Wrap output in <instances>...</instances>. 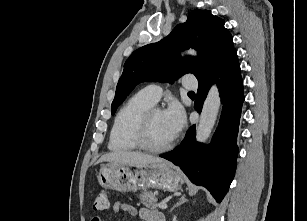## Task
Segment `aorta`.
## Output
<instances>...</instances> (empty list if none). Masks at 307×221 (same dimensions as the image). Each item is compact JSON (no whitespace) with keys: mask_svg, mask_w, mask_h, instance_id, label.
I'll return each instance as SVG.
<instances>
[{"mask_svg":"<svg viewBox=\"0 0 307 221\" xmlns=\"http://www.w3.org/2000/svg\"><path fill=\"white\" fill-rule=\"evenodd\" d=\"M186 53L192 56L197 55L196 52L192 49H189ZM219 108V90L216 85H212L204 101L199 124L196 128V140L198 142H205L209 138L215 125Z\"/></svg>","mask_w":307,"mask_h":221,"instance_id":"762f6f07","label":"aorta"}]
</instances>
